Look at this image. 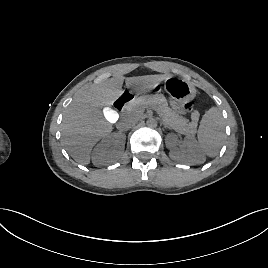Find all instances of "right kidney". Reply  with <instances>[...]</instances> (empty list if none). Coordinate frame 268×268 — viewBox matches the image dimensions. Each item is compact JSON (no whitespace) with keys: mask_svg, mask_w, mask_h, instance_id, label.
I'll list each match as a JSON object with an SVG mask.
<instances>
[{"mask_svg":"<svg viewBox=\"0 0 268 268\" xmlns=\"http://www.w3.org/2000/svg\"><path fill=\"white\" fill-rule=\"evenodd\" d=\"M125 140L126 136L122 133H113L106 136L93 149V164L100 167L117 162L124 152Z\"/></svg>","mask_w":268,"mask_h":268,"instance_id":"obj_1","label":"right kidney"}]
</instances>
